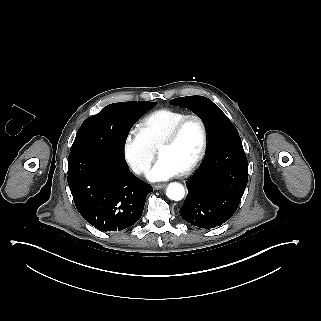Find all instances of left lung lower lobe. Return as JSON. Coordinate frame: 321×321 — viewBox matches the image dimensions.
<instances>
[{"instance_id":"0a47b994","label":"left lung lower lobe","mask_w":321,"mask_h":321,"mask_svg":"<svg viewBox=\"0 0 321 321\" xmlns=\"http://www.w3.org/2000/svg\"><path fill=\"white\" fill-rule=\"evenodd\" d=\"M248 182V162L240 136L207 149L206 157L186 181L188 195L181 217L199 228L222 225L236 211Z\"/></svg>"}]
</instances>
